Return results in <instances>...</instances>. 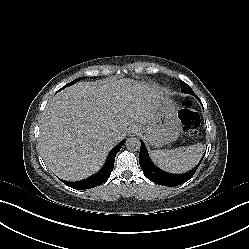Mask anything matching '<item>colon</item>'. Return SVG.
Listing matches in <instances>:
<instances>
[{"mask_svg": "<svg viewBox=\"0 0 249 249\" xmlns=\"http://www.w3.org/2000/svg\"><path fill=\"white\" fill-rule=\"evenodd\" d=\"M191 104L189 100L184 102V107L181 110V119L184 125V136L189 139H194L198 135L200 118L191 107Z\"/></svg>", "mask_w": 249, "mask_h": 249, "instance_id": "colon-1", "label": "colon"}]
</instances>
